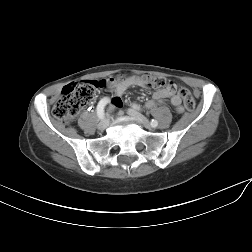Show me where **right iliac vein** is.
<instances>
[{
	"label": "right iliac vein",
	"instance_id": "63e3f726",
	"mask_svg": "<svg viewBox=\"0 0 252 252\" xmlns=\"http://www.w3.org/2000/svg\"><path fill=\"white\" fill-rule=\"evenodd\" d=\"M109 124V119L108 118H104V121H100L98 124V129L99 130H105L107 128Z\"/></svg>",
	"mask_w": 252,
	"mask_h": 252
}]
</instances>
